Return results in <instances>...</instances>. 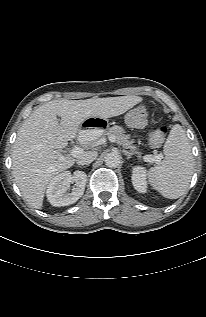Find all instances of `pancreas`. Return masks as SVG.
<instances>
[{
    "label": "pancreas",
    "instance_id": "pancreas-1",
    "mask_svg": "<svg viewBox=\"0 0 206 317\" xmlns=\"http://www.w3.org/2000/svg\"><path fill=\"white\" fill-rule=\"evenodd\" d=\"M107 136H114L116 142L121 145L122 147H124L125 149H130V151L133 154H139V152L137 151V147L135 145H133L134 141L130 140V135L125 134L124 130L120 127V126H116L115 129L111 130V133H104ZM97 138V135L95 137H93L91 140L92 141L94 139ZM86 141V140H85Z\"/></svg>",
    "mask_w": 206,
    "mask_h": 317
}]
</instances>
